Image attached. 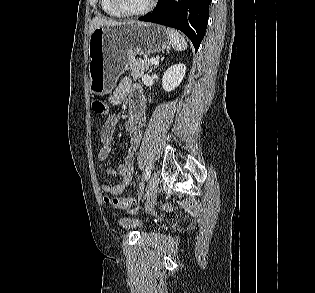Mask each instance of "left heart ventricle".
<instances>
[{"instance_id": "1", "label": "left heart ventricle", "mask_w": 315, "mask_h": 293, "mask_svg": "<svg viewBox=\"0 0 315 293\" xmlns=\"http://www.w3.org/2000/svg\"><path fill=\"white\" fill-rule=\"evenodd\" d=\"M124 6L129 10H140L144 8L150 0H122Z\"/></svg>"}]
</instances>
